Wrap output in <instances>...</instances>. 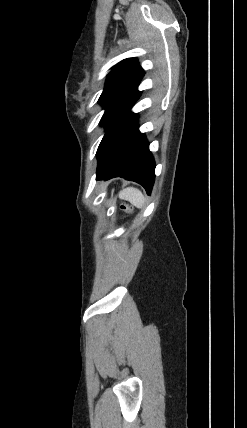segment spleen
I'll return each instance as SVG.
<instances>
[{"mask_svg":"<svg viewBox=\"0 0 247 428\" xmlns=\"http://www.w3.org/2000/svg\"><path fill=\"white\" fill-rule=\"evenodd\" d=\"M121 199L129 201L132 205L137 208H142L145 203L142 192L136 188L128 187L123 189L119 194Z\"/></svg>","mask_w":247,"mask_h":428,"instance_id":"1","label":"spleen"}]
</instances>
